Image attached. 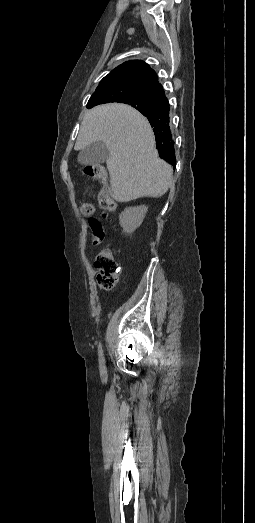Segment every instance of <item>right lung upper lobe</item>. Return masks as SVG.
<instances>
[{"instance_id":"obj_1","label":"right lung upper lobe","mask_w":255,"mask_h":523,"mask_svg":"<svg viewBox=\"0 0 255 523\" xmlns=\"http://www.w3.org/2000/svg\"><path fill=\"white\" fill-rule=\"evenodd\" d=\"M128 89L146 92L148 96L146 101L126 104H130L148 118L151 126L154 127L156 147L160 157L175 167L174 142L169 126V103L155 71L147 63L131 60L112 70L101 80L87 107L113 102L105 96Z\"/></svg>"}]
</instances>
